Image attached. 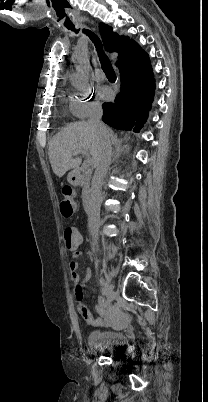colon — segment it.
<instances>
[{
    "instance_id": "5ec220e1",
    "label": "colon",
    "mask_w": 208,
    "mask_h": 402,
    "mask_svg": "<svg viewBox=\"0 0 208 402\" xmlns=\"http://www.w3.org/2000/svg\"><path fill=\"white\" fill-rule=\"evenodd\" d=\"M72 192H73V190L71 189L70 185H66L62 188V193L64 196H71ZM61 212H62V214H73L74 207H73V205H62ZM63 239H64L65 245L68 250L73 251L74 254H77V253L82 254L83 253L82 249L77 250L79 247V234L74 227H66L65 228V230L63 232ZM79 309H80L81 315L83 317L88 316L89 310H88V305L85 300L80 301Z\"/></svg>"
}]
</instances>
